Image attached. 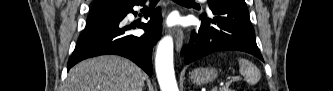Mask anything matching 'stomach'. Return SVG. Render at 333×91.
<instances>
[{
    "mask_svg": "<svg viewBox=\"0 0 333 91\" xmlns=\"http://www.w3.org/2000/svg\"><path fill=\"white\" fill-rule=\"evenodd\" d=\"M218 73L214 68H196L191 73V81L197 85L212 82Z\"/></svg>",
    "mask_w": 333,
    "mask_h": 91,
    "instance_id": "0dacf381",
    "label": "stomach"
}]
</instances>
